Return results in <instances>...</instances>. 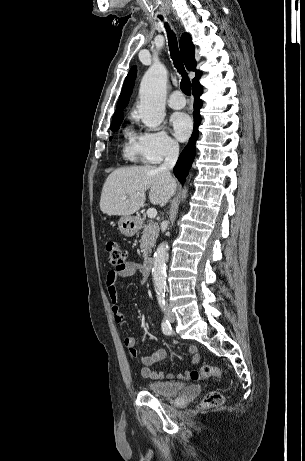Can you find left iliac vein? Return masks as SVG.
<instances>
[{
    "instance_id": "obj_1",
    "label": "left iliac vein",
    "mask_w": 305,
    "mask_h": 461,
    "mask_svg": "<svg viewBox=\"0 0 305 461\" xmlns=\"http://www.w3.org/2000/svg\"><path fill=\"white\" fill-rule=\"evenodd\" d=\"M169 318L171 321H174V315L171 312H169Z\"/></svg>"
}]
</instances>
